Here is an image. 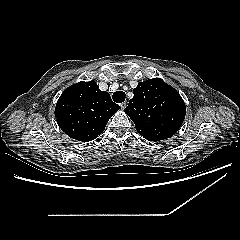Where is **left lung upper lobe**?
Segmentation results:
<instances>
[{
    "label": "left lung upper lobe",
    "instance_id": "obj_1",
    "mask_svg": "<svg viewBox=\"0 0 240 240\" xmlns=\"http://www.w3.org/2000/svg\"><path fill=\"white\" fill-rule=\"evenodd\" d=\"M124 110L140 135L149 141L173 136L181 127L186 107L179 93L159 78L140 82Z\"/></svg>",
    "mask_w": 240,
    "mask_h": 240
}]
</instances>
